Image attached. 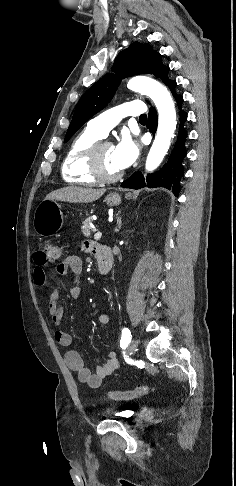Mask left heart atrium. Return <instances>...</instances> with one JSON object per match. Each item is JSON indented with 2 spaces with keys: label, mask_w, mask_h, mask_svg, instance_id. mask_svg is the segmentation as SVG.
Listing matches in <instances>:
<instances>
[{
  "label": "left heart atrium",
  "mask_w": 236,
  "mask_h": 486,
  "mask_svg": "<svg viewBox=\"0 0 236 486\" xmlns=\"http://www.w3.org/2000/svg\"><path fill=\"white\" fill-rule=\"evenodd\" d=\"M138 155L139 147L128 135H123L114 147V157L121 170L129 167L137 159Z\"/></svg>",
  "instance_id": "left-heart-atrium-1"
}]
</instances>
